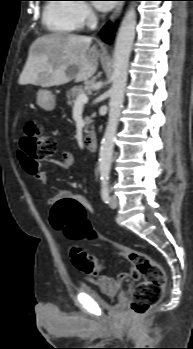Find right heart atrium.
I'll list each match as a JSON object with an SVG mask.
<instances>
[{
  "instance_id": "1",
  "label": "right heart atrium",
  "mask_w": 193,
  "mask_h": 349,
  "mask_svg": "<svg viewBox=\"0 0 193 349\" xmlns=\"http://www.w3.org/2000/svg\"><path fill=\"white\" fill-rule=\"evenodd\" d=\"M76 4V12L81 21V24L91 22L94 18V14L90 6L85 1H79Z\"/></svg>"
}]
</instances>
